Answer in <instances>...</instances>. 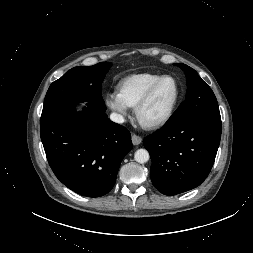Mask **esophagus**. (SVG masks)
I'll list each match as a JSON object with an SVG mask.
<instances>
[{
  "instance_id": "obj_1",
  "label": "esophagus",
  "mask_w": 253,
  "mask_h": 253,
  "mask_svg": "<svg viewBox=\"0 0 253 253\" xmlns=\"http://www.w3.org/2000/svg\"><path fill=\"white\" fill-rule=\"evenodd\" d=\"M131 139H132V143L134 145H139L142 142V138L138 135H135V134L132 135Z\"/></svg>"
}]
</instances>
